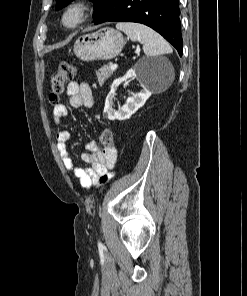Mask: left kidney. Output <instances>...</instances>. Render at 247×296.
<instances>
[{"instance_id":"left-kidney-1","label":"left kidney","mask_w":247,"mask_h":296,"mask_svg":"<svg viewBox=\"0 0 247 296\" xmlns=\"http://www.w3.org/2000/svg\"><path fill=\"white\" fill-rule=\"evenodd\" d=\"M162 62L166 61L163 59H140L138 63L126 73L125 76L116 79L113 82L111 90L105 100V107L103 111L104 116L109 120H126L130 118L139 108H141L152 95L150 87L154 79L157 78V75L163 69ZM164 67H169V64L166 62ZM130 78H136L141 83L143 90L136 94L133 93L119 110H114L112 106L114 96L116 95L115 91L122 82Z\"/></svg>"}]
</instances>
